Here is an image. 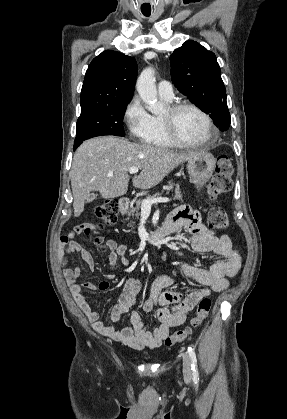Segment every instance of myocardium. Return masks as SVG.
<instances>
[{"label": "myocardium", "mask_w": 287, "mask_h": 419, "mask_svg": "<svg viewBox=\"0 0 287 419\" xmlns=\"http://www.w3.org/2000/svg\"><path fill=\"white\" fill-rule=\"evenodd\" d=\"M170 110L172 114H176L184 109H191L196 111L198 114L202 116V118L205 120L208 129H209V135L206 139H204L201 142L197 143H191L183 140L176 132L174 123L172 119H164L161 118L162 125L165 131V134L167 138L175 145L187 147V148H199L209 145L210 143L214 142L218 137V131L216 126L214 125L211 117L199 106L190 103V102H178L175 104H172L170 107Z\"/></svg>", "instance_id": "f54148a6"}]
</instances>
